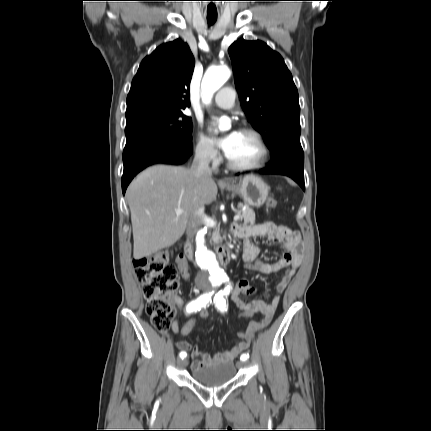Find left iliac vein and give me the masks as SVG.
<instances>
[{"label": "left iliac vein", "instance_id": "obj_1", "mask_svg": "<svg viewBox=\"0 0 431 431\" xmlns=\"http://www.w3.org/2000/svg\"><path fill=\"white\" fill-rule=\"evenodd\" d=\"M247 363H248V362H245V363H244V362H241V363H239V364L242 366V365H245V364H247Z\"/></svg>", "mask_w": 431, "mask_h": 431}]
</instances>
